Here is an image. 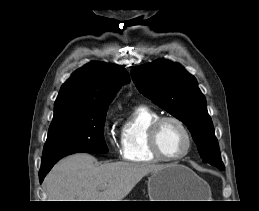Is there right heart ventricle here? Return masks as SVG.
I'll return each instance as SVG.
<instances>
[{"label": "right heart ventricle", "mask_w": 259, "mask_h": 211, "mask_svg": "<svg viewBox=\"0 0 259 211\" xmlns=\"http://www.w3.org/2000/svg\"><path fill=\"white\" fill-rule=\"evenodd\" d=\"M159 117L155 110L145 105H139L133 109L120 130L123 159L135 163L158 160L150 150L148 132L150 126Z\"/></svg>", "instance_id": "obj_1"}]
</instances>
